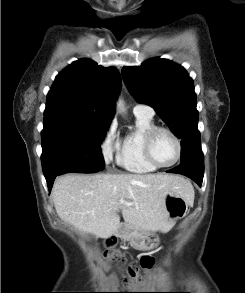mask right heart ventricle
I'll use <instances>...</instances> for the list:
<instances>
[{
  "instance_id": "e07e8e85",
  "label": "right heart ventricle",
  "mask_w": 245,
  "mask_h": 293,
  "mask_svg": "<svg viewBox=\"0 0 245 293\" xmlns=\"http://www.w3.org/2000/svg\"><path fill=\"white\" fill-rule=\"evenodd\" d=\"M156 127L153 115L135 114V126L128 130L122 140L116 162L131 173H151L157 170L147 161L143 151L145 134Z\"/></svg>"
}]
</instances>
